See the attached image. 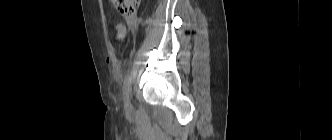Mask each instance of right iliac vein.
<instances>
[{"instance_id":"63e3f726","label":"right iliac vein","mask_w":332,"mask_h":140,"mask_svg":"<svg viewBox=\"0 0 332 140\" xmlns=\"http://www.w3.org/2000/svg\"><path fill=\"white\" fill-rule=\"evenodd\" d=\"M125 107H126V110H129V109H130L129 96H128L127 100H126Z\"/></svg>"}]
</instances>
